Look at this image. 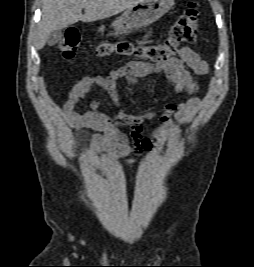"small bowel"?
<instances>
[{
    "instance_id": "small-bowel-1",
    "label": "small bowel",
    "mask_w": 254,
    "mask_h": 267,
    "mask_svg": "<svg viewBox=\"0 0 254 267\" xmlns=\"http://www.w3.org/2000/svg\"><path fill=\"white\" fill-rule=\"evenodd\" d=\"M146 35L144 40L148 39ZM197 75H205L209 66L200 55L189 47L181 49L180 53L162 63H145L132 61L124 66L112 70L107 76H86L79 80L71 88L68 98L63 105L71 127L91 129L95 133L90 141V153L94 157H101L109 160L127 158L126 164L133 162L128 158L133 152L128 143V138L120 131L122 125H128L132 129V138L137 145V151H149L159 141L160 134L154 138H143L141 126L155 116L154 111L142 114H128L123 108L117 89V82L125 80L131 87L140 78L151 75H161L165 83L170 87L167 93L166 102L163 107V114L160 117L163 129L167 127L173 117L177 122L184 124L190 121L200 106V98L197 94L200 91L199 83L193 78L191 72ZM98 86L103 88L110 96L117 112L110 116L101 111V103L93 100L90 103V110L79 112L76 110L80 101L86 98L91 88ZM184 97L191 96L185 101L175 104V95Z\"/></svg>"
}]
</instances>
